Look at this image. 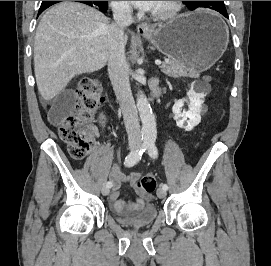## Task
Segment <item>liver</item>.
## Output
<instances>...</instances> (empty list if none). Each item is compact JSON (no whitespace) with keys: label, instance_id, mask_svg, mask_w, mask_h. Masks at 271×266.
Masks as SVG:
<instances>
[{"label":"liver","instance_id":"obj_1","mask_svg":"<svg viewBox=\"0 0 271 266\" xmlns=\"http://www.w3.org/2000/svg\"><path fill=\"white\" fill-rule=\"evenodd\" d=\"M110 26L99 10L81 3H59L43 15L35 35L34 72L38 91L46 101L76 75L106 65ZM127 41L124 36V43Z\"/></svg>","mask_w":271,"mask_h":266}]
</instances>
